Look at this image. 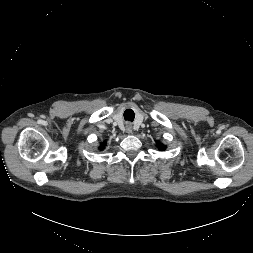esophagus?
Wrapping results in <instances>:
<instances>
[{
	"mask_svg": "<svg viewBox=\"0 0 253 253\" xmlns=\"http://www.w3.org/2000/svg\"><path fill=\"white\" fill-rule=\"evenodd\" d=\"M126 131L128 134H132V125L131 124H127Z\"/></svg>",
	"mask_w": 253,
	"mask_h": 253,
	"instance_id": "34e87169",
	"label": "esophagus"
}]
</instances>
